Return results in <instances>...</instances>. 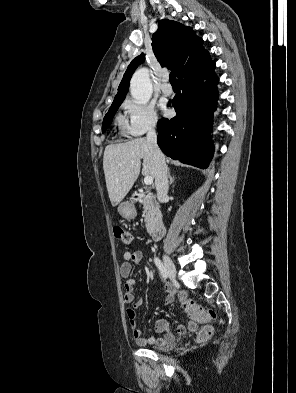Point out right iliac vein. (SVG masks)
Wrapping results in <instances>:
<instances>
[{
	"label": "right iliac vein",
	"mask_w": 296,
	"mask_h": 393,
	"mask_svg": "<svg viewBox=\"0 0 296 393\" xmlns=\"http://www.w3.org/2000/svg\"><path fill=\"white\" fill-rule=\"evenodd\" d=\"M163 261H164V264H165V267L167 269L168 274L172 278H175V276H176V268H175V265H174L173 261L167 255H163Z\"/></svg>",
	"instance_id": "1"
}]
</instances>
